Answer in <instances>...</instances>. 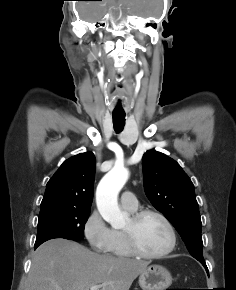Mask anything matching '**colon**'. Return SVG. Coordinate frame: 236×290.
Instances as JSON below:
<instances>
[{
    "mask_svg": "<svg viewBox=\"0 0 236 290\" xmlns=\"http://www.w3.org/2000/svg\"><path fill=\"white\" fill-rule=\"evenodd\" d=\"M167 290H177V289H167Z\"/></svg>",
    "mask_w": 236,
    "mask_h": 290,
    "instance_id": "1",
    "label": "colon"
}]
</instances>
